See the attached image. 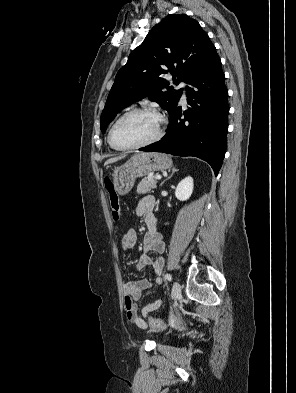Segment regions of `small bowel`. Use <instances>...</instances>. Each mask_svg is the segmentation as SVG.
Masks as SVG:
<instances>
[{"instance_id": "c3829d8e", "label": "small bowel", "mask_w": 296, "mask_h": 393, "mask_svg": "<svg viewBox=\"0 0 296 393\" xmlns=\"http://www.w3.org/2000/svg\"><path fill=\"white\" fill-rule=\"evenodd\" d=\"M155 199L152 196H146L142 198L137 207L136 215L143 217L148 227V231L143 238V251L144 254L141 256L135 266V270H141L145 267H150L153 273L156 275L155 284H162L161 274L164 266V259L161 256L151 258L150 252L163 253L165 250V243L161 234L156 229V218L154 216ZM137 242V234L134 229H128L125 231L122 237L121 245L123 250L128 251L132 249ZM151 282L147 279H141L137 281L127 282L123 285L124 293V309L126 312L127 319L137 327L146 328L147 323L145 318L148 315L159 309L162 305V300L158 299L152 303L145 305L142 308V317L139 316L137 310V301L141 298L142 292L151 287Z\"/></svg>"}]
</instances>
